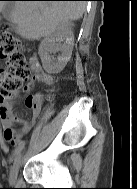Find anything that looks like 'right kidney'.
Listing matches in <instances>:
<instances>
[{"label": "right kidney", "mask_w": 137, "mask_h": 189, "mask_svg": "<svg viewBox=\"0 0 137 189\" xmlns=\"http://www.w3.org/2000/svg\"><path fill=\"white\" fill-rule=\"evenodd\" d=\"M74 46V34L68 24L60 26L50 35L46 36L40 43L38 53L43 68L48 73H59L70 60ZM60 52L56 58L51 56Z\"/></svg>", "instance_id": "right-kidney-1"}]
</instances>
